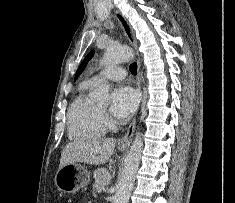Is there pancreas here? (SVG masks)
Segmentation results:
<instances>
[{
    "label": "pancreas",
    "instance_id": "obj_1",
    "mask_svg": "<svg viewBox=\"0 0 235 203\" xmlns=\"http://www.w3.org/2000/svg\"><path fill=\"white\" fill-rule=\"evenodd\" d=\"M93 177L95 179L93 187L95 189L103 187L109 184L111 180L110 172L105 168H98L93 172Z\"/></svg>",
    "mask_w": 235,
    "mask_h": 203
}]
</instances>
